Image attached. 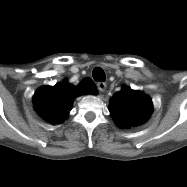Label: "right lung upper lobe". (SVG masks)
<instances>
[{
    "label": "right lung upper lobe",
    "mask_w": 187,
    "mask_h": 187,
    "mask_svg": "<svg viewBox=\"0 0 187 187\" xmlns=\"http://www.w3.org/2000/svg\"><path fill=\"white\" fill-rule=\"evenodd\" d=\"M93 83V82H92ZM85 93H97L93 83L91 90H86L80 85L76 88L68 83H58L55 86L39 88L33 97L37 112L50 122L61 123L69 114L75 96Z\"/></svg>",
    "instance_id": "obj_1"
}]
</instances>
